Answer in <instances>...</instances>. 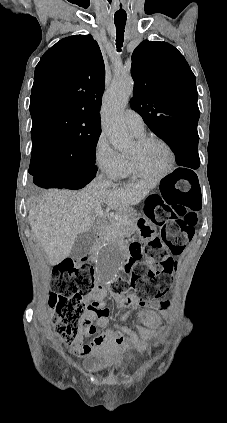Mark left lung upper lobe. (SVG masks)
I'll list each match as a JSON object with an SVG mask.
<instances>
[{"label": "left lung upper lobe", "mask_w": 227, "mask_h": 423, "mask_svg": "<svg viewBox=\"0 0 227 423\" xmlns=\"http://www.w3.org/2000/svg\"><path fill=\"white\" fill-rule=\"evenodd\" d=\"M131 107L165 142L197 133L200 116L195 76L183 55L166 42H141L132 54Z\"/></svg>", "instance_id": "obj_1"}]
</instances>
